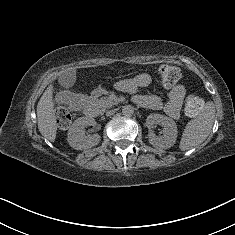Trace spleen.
<instances>
[{"label": "spleen", "mask_w": 235, "mask_h": 235, "mask_svg": "<svg viewBox=\"0 0 235 235\" xmlns=\"http://www.w3.org/2000/svg\"><path fill=\"white\" fill-rule=\"evenodd\" d=\"M204 129H206V128H204ZM184 142V141H183ZM190 145L188 144L187 146H186V148H188Z\"/></svg>", "instance_id": "spleen-1"}]
</instances>
